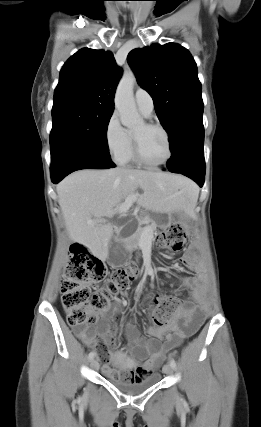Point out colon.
I'll return each instance as SVG.
<instances>
[{"instance_id":"obj_1","label":"colon","mask_w":261,"mask_h":427,"mask_svg":"<svg viewBox=\"0 0 261 427\" xmlns=\"http://www.w3.org/2000/svg\"><path fill=\"white\" fill-rule=\"evenodd\" d=\"M186 231L172 225L158 233L160 246L178 252L184 248ZM136 268L133 263L108 272L106 265L90 254L82 244H74L69 255V264L61 281V302L70 326L95 324L109 308V301L125 290L134 279ZM105 281L101 290L94 285ZM181 300L174 295L155 298L152 311L153 332L166 327L181 307Z\"/></svg>"}]
</instances>
